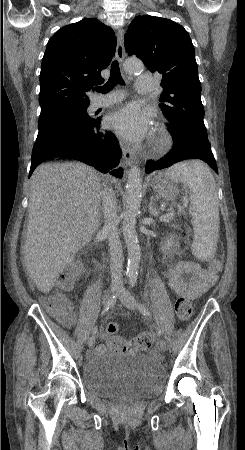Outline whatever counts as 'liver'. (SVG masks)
Masks as SVG:
<instances>
[{"label":"liver","mask_w":245,"mask_h":450,"mask_svg":"<svg viewBox=\"0 0 245 450\" xmlns=\"http://www.w3.org/2000/svg\"><path fill=\"white\" fill-rule=\"evenodd\" d=\"M102 183L79 162L38 166L30 181L25 267L37 288L48 293L76 253L100 226Z\"/></svg>","instance_id":"6515ba94"}]
</instances>
